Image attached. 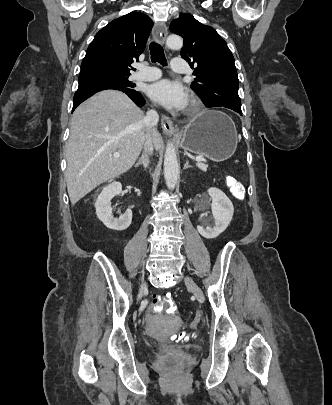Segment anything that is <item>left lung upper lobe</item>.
<instances>
[{
	"instance_id": "1",
	"label": "left lung upper lobe",
	"mask_w": 332,
	"mask_h": 405,
	"mask_svg": "<svg viewBox=\"0 0 332 405\" xmlns=\"http://www.w3.org/2000/svg\"><path fill=\"white\" fill-rule=\"evenodd\" d=\"M170 31L184 39L181 57L191 68L195 66L191 85L204 105L240 111L239 80L227 43L212 27L187 13L171 23Z\"/></svg>"
}]
</instances>
